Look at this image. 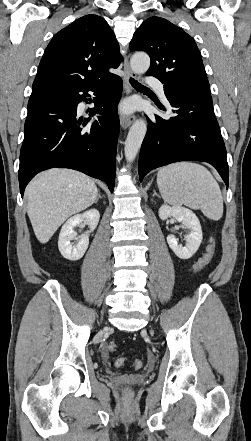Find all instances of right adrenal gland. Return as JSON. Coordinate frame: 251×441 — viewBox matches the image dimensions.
<instances>
[{"mask_svg":"<svg viewBox=\"0 0 251 441\" xmlns=\"http://www.w3.org/2000/svg\"><path fill=\"white\" fill-rule=\"evenodd\" d=\"M100 198H102V196H101V194L99 193L97 199L95 200V203H97L98 200H99Z\"/></svg>","mask_w":251,"mask_h":441,"instance_id":"2a0ac1e0","label":"right adrenal gland"}]
</instances>
